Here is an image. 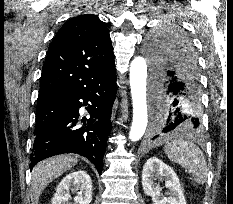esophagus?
Segmentation results:
<instances>
[{"label":"esophagus","instance_id":"obj_1","mask_svg":"<svg viewBox=\"0 0 233 204\" xmlns=\"http://www.w3.org/2000/svg\"><path fill=\"white\" fill-rule=\"evenodd\" d=\"M115 113H113L112 117H114Z\"/></svg>","mask_w":233,"mask_h":204}]
</instances>
